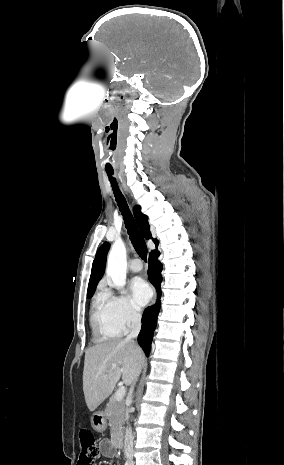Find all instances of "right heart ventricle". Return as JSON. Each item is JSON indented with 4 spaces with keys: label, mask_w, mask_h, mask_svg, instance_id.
Returning <instances> with one entry per match:
<instances>
[{
    "label": "right heart ventricle",
    "mask_w": 284,
    "mask_h": 465,
    "mask_svg": "<svg viewBox=\"0 0 284 465\" xmlns=\"http://www.w3.org/2000/svg\"><path fill=\"white\" fill-rule=\"evenodd\" d=\"M90 328L93 341L96 343L117 339L125 331L116 323L107 304L100 299L94 301L92 305Z\"/></svg>",
    "instance_id": "obj_1"
}]
</instances>
